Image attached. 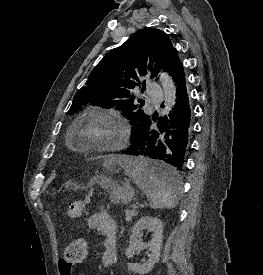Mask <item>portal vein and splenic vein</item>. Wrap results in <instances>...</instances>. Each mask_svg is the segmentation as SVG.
<instances>
[{
	"label": "portal vein and splenic vein",
	"mask_w": 263,
	"mask_h": 275,
	"mask_svg": "<svg viewBox=\"0 0 263 275\" xmlns=\"http://www.w3.org/2000/svg\"><path fill=\"white\" fill-rule=\"evenodd\" d=\"M142 206H144V204H143ZM137 207H138L137 205H133V208H134V209H136Z\"/></svg>",
	"instance_id": "portal-vein-and-splenic-vein-1"
}]
</instances>
